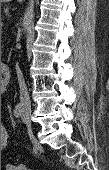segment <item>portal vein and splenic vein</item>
<instances>
[{"label":"portal vein and splenic vein","instance_id":"portal-vein-and-splenic-vein-1","mask_svg":"<svg viewBox=\"0 0 109 170\" xmlns=\"http://www.w3.org/2000/svg\"><path fill=\"white\" fill-rule=\"evenodd\" d=\"M2 26H4V23H3V22H1V27H2Z\"/></svg>","mask_w":109,"mask_h":170}]
</instances>
